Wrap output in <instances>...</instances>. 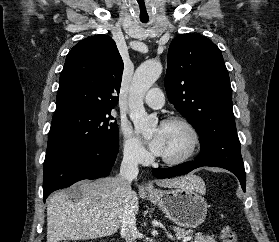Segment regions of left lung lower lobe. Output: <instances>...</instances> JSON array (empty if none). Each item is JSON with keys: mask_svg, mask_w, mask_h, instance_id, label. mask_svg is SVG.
<instances>
[{"mask_svg": "<svg viewBox=\"0 0 279 242\" xmlns=\"http://www.w3.org/2000/svg\"><path fill=\"white\" fill-rule=\"evenodd\" d=\"M202 166L221 167L231 171L239 179L242 189L243 191H245V170L223 162H210V161L196 159V161L185 162L183 164L170 167V168L153 169L152 173L154 174L155 177L162 179V178H169L178 175H185L190 171Z\"/></svg>", "mask_w": 279, "mask_h": 242, "instance_id": "obj_1", "label": "left lung lower lobe"}]
</instances>
